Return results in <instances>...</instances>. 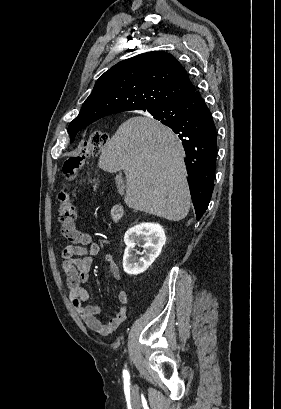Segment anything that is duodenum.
I'll list each match as a JSON object with an SVG mask.
<instances>
[{
  "label": "duodenum",
  "instance_id": "410a0bca",
  "mask_svg": "<svg viewBox=\"0 0 281 409\" xmlns=\"http://www.w3.org/2000/svg\"><path fill=\"white\" fill-rule=\"evenodd\" d=\"M122 213H123V212H122V207L119 206V205H116V206H114V207L112 208L111 216H112L115 220H118V219L121 218Z\"/></svg>",
  "mask_w": 281,
  "mask_h": 409
}]
</instances>
